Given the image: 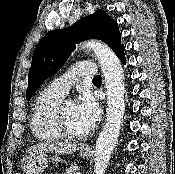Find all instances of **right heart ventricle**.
<instances>
[{
	"label": "right heart ventricle",
	"mask_w": 175,
	"mask_h": 174,
	"mask_svg": "<svg viewBox=\"0 0 175 174\" xmlns=\"http://www.w3.org/2000/svg\"><path fill=\"white\" fill-rule=\"evenodd\" d=\"M60 95L49 88L43 90L36 97L31 114V130L39 141L56 142L63 137L55 124V113L62 102Z\"/></svg>",
	"instance_id": "right-heart-ventricle-1"
}]
</instances>
